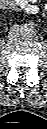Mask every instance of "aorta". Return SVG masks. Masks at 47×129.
Segmentation results:
<instances>
[{
	"label": "aorta",
	"mask_w": 47,
	"mask_h": 129,
	"mask_svg": "<svg viewBox=\"0 0 47 129\" xmlns=\"http://www.w3.org/2000/svg\"><path fill=\"white\" fill-rule=\"evenodd\" d=\"M28 35H31L32 34V30L29 29L28 32H27Z\"/></svg>",
	"instance_id": "aorta-1"
}]
</instances>
